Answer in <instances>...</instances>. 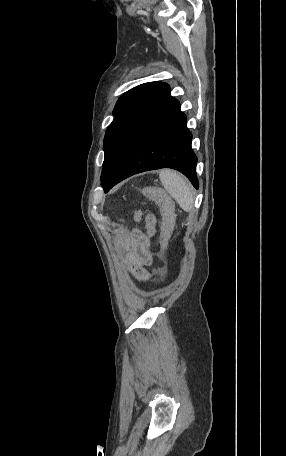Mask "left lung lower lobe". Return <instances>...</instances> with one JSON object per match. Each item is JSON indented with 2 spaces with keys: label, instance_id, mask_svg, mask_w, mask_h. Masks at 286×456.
Masks as SVG:
<instances>
[{
  "label": "left lung lower lobe",
  "instance_id": "left-lung-lower-lobe-1",
  "mask_svg": "<svg viewBox=\"0 0 286 456\" xmlns=\"http://www.w3.org/2000/svg\"><path fill=\"white\" fill-rule=\"evenodd\" d=\"M191 141L187 118L180 110L179 101L175 99L136 137L105 192L131 175L160 168L182 172L198 189L197 157L191 149Z\"/></svg>",
  "mask_w": 286,
  "mask_h": 456
}]
</instances>
